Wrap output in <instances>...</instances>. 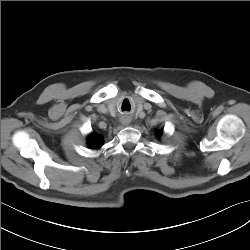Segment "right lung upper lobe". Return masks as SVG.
<instances>
[{
    "label": "right lung upper lobe",
    "instance_id": "1",
    "mask_svg": "<svg viewBox=\"0 0 250 250\" xmlns=\"http://www.w3.org/2000/svg\"><path fill=\"white\" fill-rule=\"evenodd\" d=\"M102 144H103V141H102L101 136L93 134L89 137V140H88L89 148L96 149V148L101 147Z\"/></svg>",
    "mask_w": 250,
    "mask_h": 250
}]
</instances>
